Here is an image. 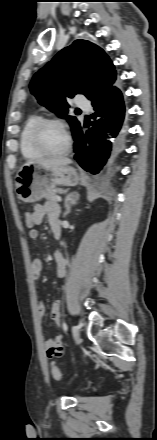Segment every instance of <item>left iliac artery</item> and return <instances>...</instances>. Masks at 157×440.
I'll use <instances>...</instances> for the list:
<instances>
[{"mask_svg":"<svg viewBox=\"0 0 157 440\" xmlns=\"http://www.w3.org/2000/svg\"><path fill=\"white\" fill-rule=\"evenodd\" d=\"M63 328H64L65 330H67V324H66V322L63 323Z\"/></svg>","mask_w":157,"mask_h":440,"instance_id":"obj_1","label":"left iliac artery"}]
</instances>
